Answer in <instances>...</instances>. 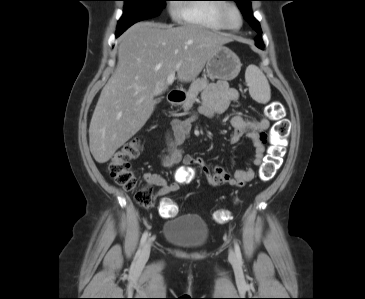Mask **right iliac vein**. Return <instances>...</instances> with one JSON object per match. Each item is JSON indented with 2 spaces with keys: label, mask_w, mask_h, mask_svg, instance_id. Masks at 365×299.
Returning a JSON list of instances; mask_svg holds the SVG:
<instances>
[{
  "label": "right iliac vein",
  "mask_w": 365,
  "mask_h": 299,
  "mask_svg": "<svg viewBox=\"0 0 365 299\" xmlns=\"http://www.w3.org/2000/svg\"><path fill=\"white\" fill-rule=\"evenodd\" d=\"M150 251H151V240H148L145 245H144V248L141 252V255H140V261L141 262H146L149 258V255H150Z\"/></svg>",
  "instance_id": "right-iliac-vein-1"
}]
</instances>
